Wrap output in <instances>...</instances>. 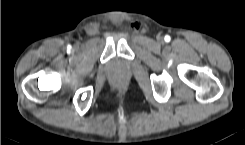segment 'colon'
<instances>
[{
	"mask_svg": "<svg viewBox=\"0 0 245 145\" xmlns=\"http://www.w3.org/2000/svg\"><path fill=\"white\" fill-rule=\"evenodd\" d=\"M122 87H123V83L122 82H120V81H115L114 82V88L115 89L120 90V89H122Z\"/></svg>",
	"mask_w": 245,
	"mask_h": 145,
	"instance_id": "5ec220e1",
	"label": "colon"
}]
</instances>
